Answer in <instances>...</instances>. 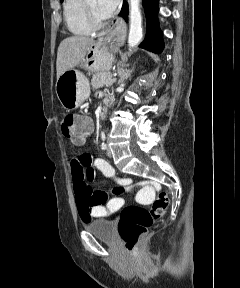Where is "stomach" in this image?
Segmentation results:
<instances>
[{"mask_svg": "<svg viewBox=\"0 0 240 288\" xmlns=\"http://www.w3.org/2000/svg\"><path fill=\"white\" fill-rule=\"evenodd\" d=\"M114 62V55L105 40L92 44L80 63L90 72H107ZM57 97L65 109L79 107L90 95L88 78L80 71L69 69L56 82Z\"/></svg>", "mask_w": 240, "mask_h": 288, "instance_id": "obj_1", "label": "stomach"}]
</instances>
